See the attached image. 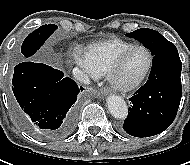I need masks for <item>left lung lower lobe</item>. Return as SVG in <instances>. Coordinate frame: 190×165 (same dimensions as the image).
I'll list each match as a JSON object with an SVG mask.
<instances>
[{
    "mask_svg": "<svg viewBox=\"0 0 190 165\" xmlns=\"http://www.w3.org/2000/svg\"><path fill=\"white\" fill-rule=\"evenodd\" d=\"M182 63L175 46L154 55L149 79L130 98L123 130L135 137L163 132L174 121L182 96Z\"/></svg>",
    "mask_w": 190,
    "mask_h": 165,
    "instance_id": "0a47b994",
    "label": "left lung lower lobe"
}]
</instances>
